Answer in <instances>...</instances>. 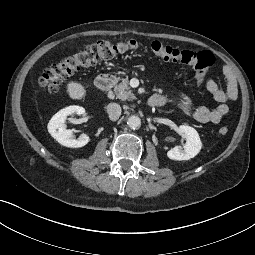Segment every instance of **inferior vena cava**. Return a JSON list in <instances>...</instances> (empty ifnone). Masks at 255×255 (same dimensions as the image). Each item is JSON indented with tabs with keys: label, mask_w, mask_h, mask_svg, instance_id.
<instances>
[{
	"label": "inferior vena cava",
	"mask_w": 255,
	"mask_h": 255,
	"mask_svg": "<svg viewBox=\"0 0 255 255\" xmlns=\"http://www.w3.org/2000/svg\"><path fill=\"white\" fill-rule=\"evenodd\" d=\"M107 112L110 120H117L121 115V107L117 103H109L107 106Z\"/></svg>",
	"instance_id": "1"
}]
</instances>
